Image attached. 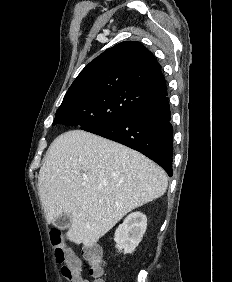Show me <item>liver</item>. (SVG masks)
Listing matches in <instances>:
<instances>
[{
  "label": "liver",
  "instance_id": "6515ba94",
  "mask_svg": "<svg viewBox=\"0 0 232 282\" xmlns=\"http://www.w3.org/2000/svg\"><path fill=\"white\" fill-rule=\"evenodd\" d=\"M165 171L143 154L83 130L59 135L39 171L47 223L71 216L66 238L93 246L133 209L161 197Z\"/></svg>",
  "mask_w": 232,
  "mask_h": 282
}]
</instances>
